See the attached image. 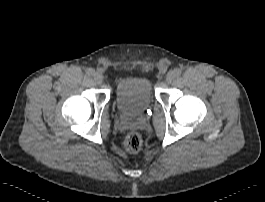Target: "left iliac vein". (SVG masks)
Listing matches in <instances>:
<instances>
[{"label": "left iliac vein", "instance_id": "4c4485c4", "mask_svg": "<svg viewBox=\"0 0 265 202\" xmlns=\"http://www.w3.org/2000/svg\"><path fill=\"white\" fill-rule=\"evenodd\" d=\"M175 76L176 75H175L174 71H169L167 73V75H166V82L167 83H172V81L174 80Z\"/></svg>", "mask_w": 265, "mask_h": 202}]
</instances>
